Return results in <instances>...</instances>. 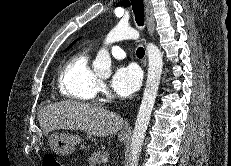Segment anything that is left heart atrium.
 Masks as SVG:
<instances>
[{"mask_svg": "<svg viewBox=\"0 0 231 166\" xmlns=\"http://www.w3.org/2000/svg\"><path fill=\"white\" fill-rule=\"evenodd\" d=\"M142 75L140 69L133 65H123L114 72L110 85L114 92L121 97H130L141 85Z\"/></svg>", "mask_w": 231, "mask_h": 166, "instance_id": "39dd6f15", "label": "left heart atrium"}]
</instances>
